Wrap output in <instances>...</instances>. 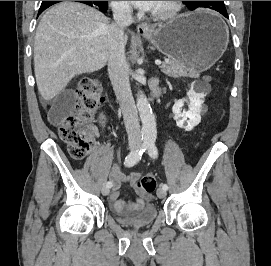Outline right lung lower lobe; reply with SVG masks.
<instances>
[{
	"label": "right lung lower lobe",
	"instance_id": "1",
	"mask_svg": "<svg viewBox=\"0 0 271 266\" xmlns=\"http://www.w3.org/2000/svg\"><path fill=\"white\" fill-rule=\"evenodd\" d=\"M58 2H61V1H45V2H42L41 6H40V9H39V12H38V15L41 14L49 6H51V5L55 4V3H58ZM77 2H81V3H84V4H88V5L92 6V7L99 8L102 12H105L106 9H107V1H77Z\"/></svg>",
	"mask_w": 271,
	"mask_h": 266
}]
</instances>
